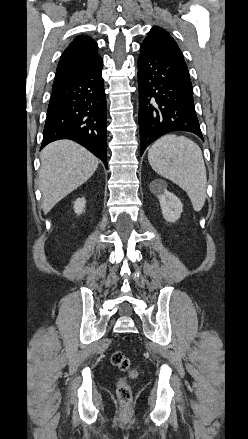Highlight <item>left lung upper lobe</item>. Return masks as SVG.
I'll list each match as a JSON object with an SVG mask.
<instances>
[{"label": "left lung upper lobe", "mask_w": 248, "mask_h": 439, "mask_svg": "<svg viewBox=\"0 0 248 439\" xmlns=\"http://www.w3.org/2000/svg\"><path fill=\"white\" fill-rule=\"evenodd\" d=\"M143 43L150 44L183 58V54L180 51L175 40L169 35L167 31L160 27H153Z\"/></svg>", "instance_id": "5c2ea615"}]
</instances>
